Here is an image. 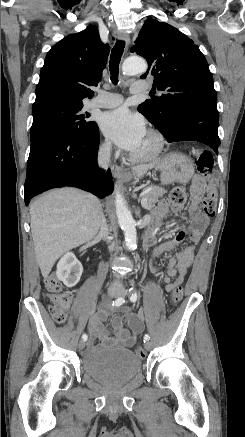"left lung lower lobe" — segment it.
Here are the masks:
<instances>
[{"label": "left lung lower lobe", "mask_w": 245, "mask_h": 437, "mask_svg": "<svg viewBox=\"0 0 245 437\" xmlns=\"http://www.w3.org/2000/svg\"><path fill=\"white\" fill-rule=\"evenodd\" d=\"M219 119L195 109H185L174 117L168 142L198 141L210 146L216 154L220 146L218 136Z\"/></svg>", "instance_id": "left-lung-lower-lobe-1"}]
</instances>
